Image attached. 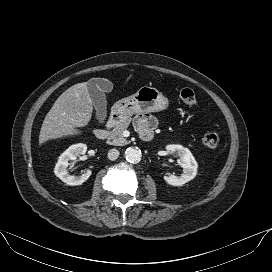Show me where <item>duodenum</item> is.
Here are the masks:
<instances>
[{
  "mask_svg": "<svg viewBox=\"0 0 272 272\" xmlns=\"http://www.w3.org/2000/svg\"><path fill=\"white\" fill-rule=\"evenodd\" d=\"M120 114L114 113L111 118L106 122V124L94 131V135L98 139H105L108 136L109 130L114 126V124L119 120ZM152 138V133L148 135V139Z\"/></svg>",
  "mask_w": 272,
  "mask_h": 272,
  "instance_id": "410a0bca",
  "label": "duodenum"
}]
</instances>
